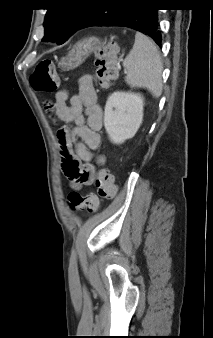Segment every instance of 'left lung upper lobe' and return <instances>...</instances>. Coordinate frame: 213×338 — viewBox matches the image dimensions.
I'll return each instance as SVG.
<instances>
[{
	"instance_id": "obj_1",
	"label": "left lung upper lobe",
	"mask_w": 213,
	"mask_h": 338,
	"mask_svg": "<svg viewBox=\"0 0 213 338\" xmlns=\"http://www.w3.org/2000/svg\"><path fill=\"white\" fill-rule=\"evenodd\" d=\"M106 0H50L44 21L43 41L63 44L79 28L86 17Z\"/></svg>"
}]
</instances>
